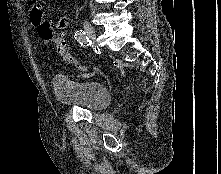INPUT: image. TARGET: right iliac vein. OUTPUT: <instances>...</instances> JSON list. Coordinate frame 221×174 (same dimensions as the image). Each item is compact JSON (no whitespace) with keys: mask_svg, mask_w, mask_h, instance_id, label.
Here are the masks:
<instances>
[{"mask_svg":"<svg viewBox=\"0 0 221 174\" xmlns=\"http://www.w3.org/2000/svg\"><path fill=\"white\" fill-rule=\"evenodd\" d=\"M83 25H84L85 33L95 43L96 33H95L93 26L88 21H84Z\"/></svg>","mask_w":221,"mask_h":174,"instance_id":"63e3f726","label":"right iliac vein"}]
</instances>
